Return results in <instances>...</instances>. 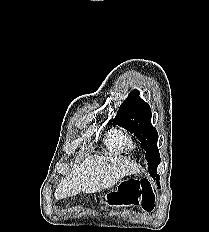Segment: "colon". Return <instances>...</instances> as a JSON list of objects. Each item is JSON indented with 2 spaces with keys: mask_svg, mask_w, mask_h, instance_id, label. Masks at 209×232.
I'll return each instance as SVG.
<instances>
[{
  "mask_svg": "<svg viewBox=\"0 0 209 232\" xmlns=\"http://www.w3.org/2000/svg\"><path fill=\"white\" fill-rule=\"evenodd\" d=\"M113 198L117 204L140 206L146 212H152L155 207L154 187L146 178L126 182L118 193H106L101 205L106 206Z\"/></svg>",
  "mask_w": 209,
  "mask_h": 232,
  "instance_id": "1",
  "label": "colon"
}]
</instances>
